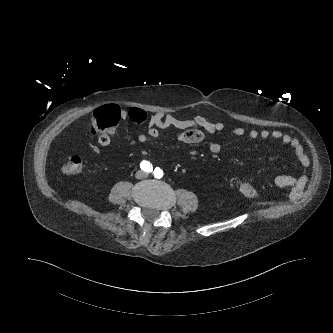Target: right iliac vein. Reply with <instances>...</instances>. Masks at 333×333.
Returning a JSON list of instances; mask_svg holds the SVG:
<instances>
[{
  "instance_id": "1",
  "label": "right iliac vein",
  "mask_w": 333,
  "mask_h": 333,
  "mask_svg": "<svg viewBox=\"0 0 333 333\" xmlns=\"http://www.w3.org/2000/svg\"><path fill=\"white\" fill-rule=\"evenodd\" d=\"M138 175H139V176H143L144 173H143L142 171H140V172L138 173Z\"/></svg>"
}]
</instances>
